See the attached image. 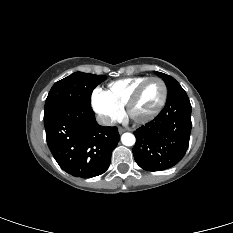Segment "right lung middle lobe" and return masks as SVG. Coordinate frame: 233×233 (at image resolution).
I'll list each match as a JSON object with an SVG mask.
<instances>
[{
  "label": "right lung middle lobe",
  "mask_w": 233,
  "mask_h": 233,
  "mask_svg": "<svg viewBox=\"0 0 233 233\" xmlns=\"http://www.w3.org/2000/svg\"><path fill=\"white\" fill-rule=\"evenodd\" d=\"M105 79V75L75 72L56 82L46 99L44 117L71 105H90L92 91Z\"/></svg>",
  "instance_id": "1"
}]
</instances>
